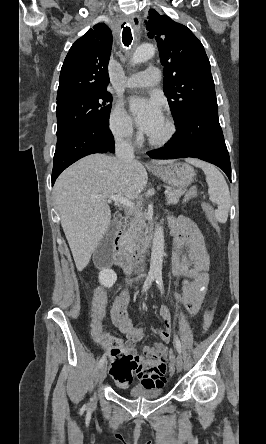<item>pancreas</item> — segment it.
<instances>
[{
    "label": "pancreas",
    "mask_w": 266,
    "mask_h": 444,
    "mask_svg": "<svg viewBox=\"0 0 266 444\" xmlns=\"http://www.w3.org/2000/svg\"><path fill=\"white\" fill-rule=\"evenodd\" d=\"M185 193L183 189H173L166 196L167 205H175L178 203L180 197ZM146 227L145 218L141 213H137L131 222L130 227L127 230L126 236L131 243L133 248H136V243L138 242L141 235L144 233V228Z\"/></svg>",
    "instance_id": "cf45deb5"
}]
</instances>
